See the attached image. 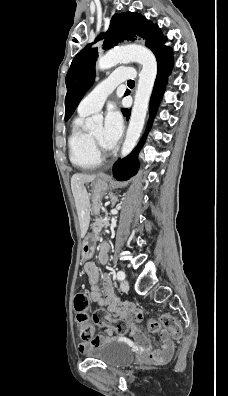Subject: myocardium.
I'll list each match as a JSON object with an SVG mask.
<instances>
[{
	"label": "myocardium",
	"mask_w": 228,
	"mask_h": 396,
	"mask_svg": "<svg viewBox=\"0 0 228 396\" xmlns=\"http://www.w3.org/2000/svg\"><path fill=\"white\" fill-rule=\"evenodd\" d=\"M90 138L97 155L101 158L106 157L112 153L110 148H105L96 138L90 133Z\"/></svg>",
	"instance_id": "myocardium-1"
}]
</instances>
